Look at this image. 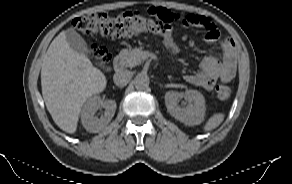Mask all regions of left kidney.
<instances>
[{
	"label": "left kidney",
	"mask_w": 292,
	"mask_h": 184,
	"mask_svg": "<svg viewBox=\"0 0 292 184\" xmlns=\"http://www.w3.org/2000/svg\"><path fill=\"white\" fill-rule=\"evenodd\" d=\"M185 96L190 104L186 108H180L177 105V100L180 93L176 91H168L165 94V104L167 111L175 119L180 122L194 126L203 121L205 115V99L204 96L197 90H187ZM191 102L193 104H191Z\"/></svg>",
	"instance_id": "5707ae66"
}]
</instances>
